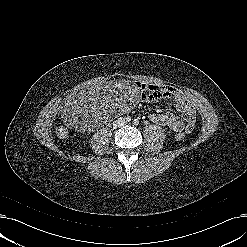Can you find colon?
I'll return each instance as SVG.
<instances>
[{
  "mask_svg": "<svg viewBox=\"0 0 247 247\" xmlns=\"http://www.w3.org/2000/svg\"><path fill=\"white\" fill-rule=\"evenodd\" d=\"M147 92V96L149 98H152L156 95V91L152 88H147L145 90ZM55 132H56V135L59 137V138H66L67 135H68V129L67 127L62 124V123H59L57 126H56V129H55ZM175 137L177 140H182L184 137H185V133L183 131H176L175 132Z\"/></svg>",
  "mask_w": 247,
  "mask_h": 247,
  "instance_id": "1",
  "label": "colon"
}]
</instances>
